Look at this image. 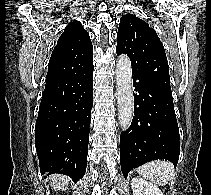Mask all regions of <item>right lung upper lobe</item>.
Listing matches in <instances>:
<instances>
[{"label":"right lung upper lobe","instance_id":"1","mask_svg":"<svg viewBox=\"0 0 211 195\" xmlns=\"http://www.w3.org/2000/svg\"><path fill=\"white\" fill-rule=\"evenodd\" d=\"M93 64V47L88 32L79 21L66 26L55 46L46 82L73 75Z\"/></svg>","mask_w":211,"mask_h":195}]
</instances>
